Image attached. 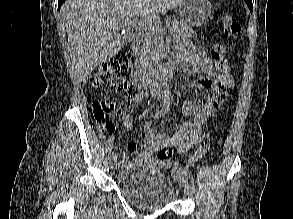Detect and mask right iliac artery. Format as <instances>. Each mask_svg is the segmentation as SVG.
Instances as JSON below:
<instances>
[{
    "label": "right iliac artery",
    "mask_w": 293,
    "mask_h": 219,
    "mask_svg": "<svg viewBox=\"0 0 293 219\" xmlns=\"http://www.w3.org/2000/svg\"><path fill=\"white\" fill-rule=\"evenodd\" d=\"M170 108V96H169V92H163V106L162 108L155 113L154 115V118H160L162 116H164L167 111L169 110ZM108 153L109 155L112 157V156H115L114 152H112L111 148H108Z\"/></svg>",
    "instance_id": "obj_1"
}]
</instances>
